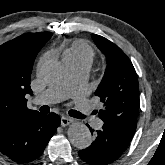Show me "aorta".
I'll use <instances>...</instances> for the list:
<instances>
[{"label": "aorta", "instance_id": "1", "mask_svg": "<svg viewBox=\"0 0 165 165\" xmlns=\"http://www.w3.org/2000/svg\"><path fill=\"white\" fill-rule=\"evenodd\" d=\"M62 74L63 67L56 60H46L39 66L40 77L48 83L60 81ZM67 134L71 144L78 149H85L92 142L91 132L82 122L72 123L68 128Z\"/></svg>", "mask_w": 165, "mask_h": 165}]
</instances>
